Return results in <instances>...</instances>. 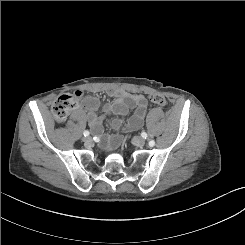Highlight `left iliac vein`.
<instances>
[{
	"instance_id": "4c4485c4",
	"label": "left iliac vein",
	"mask_w": 245,
	"mask_h": 245,
	"mask_svg": "<svg viewBox=\"0 0 245 245\" xmlns=\"http://www.w3.org/2000/svg\"><path fill=\"white\" fill-rule=\"evenodd\" d=\"M132 141L136 146H143L145 144V140L141 137H134Z\"/></svg>"
}]
</instances>
